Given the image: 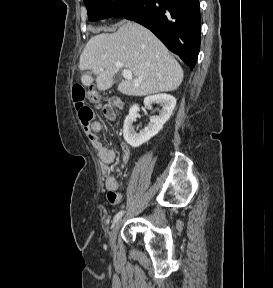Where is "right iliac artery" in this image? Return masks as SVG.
I'll return each mask as SVG.
<instances>
[{
  "label": "right iliac artery",
  "instance_id": "obj_1",
  "mask_svg": "<svg viewBox=\"0 0 273 288\" xmlns=\"http://www.w3.org/2000/svg\"><path fill=\"white\" fill-rule=\"evenodd\" d=\"M123 214H124L123 210L119 211L114 217V223L117 222L123 216Z\"/></svg>",
  "mask_w": 273,
  "mask_h": 288
}]
</instances>
